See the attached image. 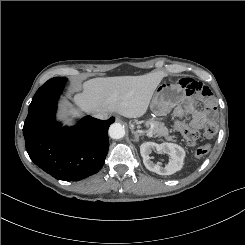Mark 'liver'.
Returning a JSON list of instances; mask_svg holds the SVG:
<instances>
[{
	"mask_svg": "<svg viewBox=\"0 0 245 245\" xmlns=\"http://www.w3.org/2000/svg\"><path fill=\"white\" fill-rule=\"evenodd\" d=\"M166 73L151 72L141 76H118L96 78L83 84L84 91L74 97L79 109L86 113H118L127 118L143 116L157 86ZM67 114L78 116L74 108H68Z\"/></svg>",
	"mask_w": 245,
	"mask_h": 245,
	"instance_id": "6515ba94",
	"label": "liver"
}]
</instances>
